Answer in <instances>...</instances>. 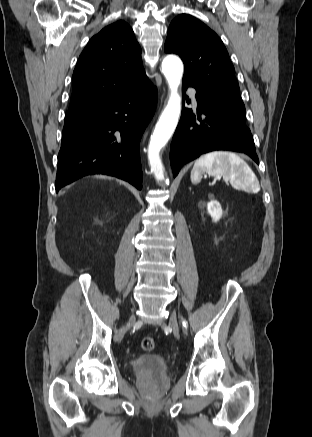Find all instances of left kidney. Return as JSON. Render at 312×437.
Masks as SVG:
<instances>
[{
  "label": "left kidney",
  "instance_id": "obj_1",
  "mask_svg": "<svg viewBox=\"0 0 312 437\" xmlns=\"http://www.w3.org/2000/svg\"><path fill=\"white\" fill-rule=\"evenodd\" d=\"M208 214L212 217L213 222H217L222 217L221 204L215 200L213 197L207 204Z\"/></svg>",
  "mask_w": 312,
  "mask_h": 437
}]
</instances>
